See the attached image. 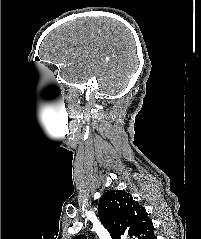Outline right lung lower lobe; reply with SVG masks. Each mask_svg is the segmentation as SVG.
Masks as SVG:
<instances>
[{
    "label": "right lung lower lobe",
    "mask_w": 201,
    "mask_h": 239,
    "mask_svg": "<svg viewBox=\"0 0 201 239\" xmlns=\"http://www.w3.org/2000/svg\"><path fill=\"white\" fill-rule=\"evenodd\" d=\"M153 239H156V236L152 237Z\"/></svg>",
    "instance_id": "98d812e1"
}]
</instances>
